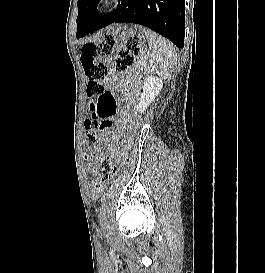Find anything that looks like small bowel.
I'll return each mask as SVG.
<instances>
[{
	"label": "small bowel",
	"mask_w": 265,
	"mask_h": 273,
	"mask_svg": "<svg viewBox=\"0 0 265 273\" xmlns=\"http://www.w3.org/2000/svg\"><path fill=\"white\" fill-rule=\"evenodd\" d=\"M81 63H82V61H81ZM117 81H118L117 74L112 72L111 75L109 76V78L106 81V87L109 90H113V89L117 88L118 87Z\"/></svg>",
	"instance_id": "1"
}]
</instances>
